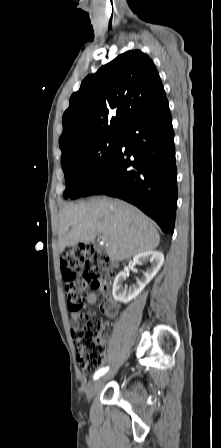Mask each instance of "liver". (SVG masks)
Wrapping results in <instances>:
<instances>
[{"label":"liver","mask_w":221,"mask_h":448,"mask_svg":"<svg viewBox=\"0 0 221 448\" xmlns=\"http://www.w3.org/2000/svg\"><path fill=\"white\" fill-rule=\"evenodd\" d=\"M97 234L112 261H123L154 250L160 235L153 222L136 207L110 198L67 205L59 214V251L93 242Z\"/></svg>","instance_id":"liver-1"}]
</instances>
